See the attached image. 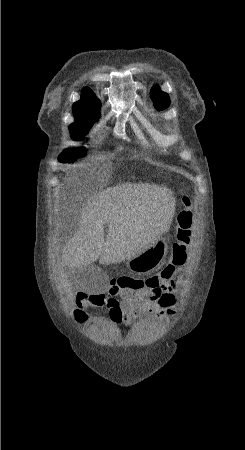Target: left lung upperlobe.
I'll list each match as a JSON object with an SVG mask.
<instances>
[{
	"instance_id": "obj_1",
	"label": "left lung upper lobe",
	"mask_w": 245,
	"mask_h": 450,
	"mask_svg": "<svg viewBox=\"0 0 245 450\" xmlns=\"http://www.w3.org/2000/svg\"><path fill=\"white\" fill-rule=\"evenodd\" d=\"M151 97L154 101V106L157 110L165 109L170 104L168 94L161 91L158 86L153 87Z\"/></svg>"
}]
</instances>
